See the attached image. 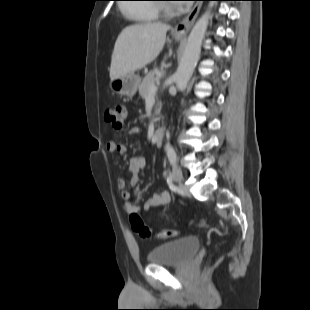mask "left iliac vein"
<instances>
[{
	"label": "left iliac vein",
	"mask_w": 310,
	"mask_h": 310,
	"mask_svg": "<svg viewBox=\"0 0 310 310\" xmlns=\"http://www.w3.org/2000/svg\"><path fill=\"white\" fill-rule=\"evenodd\" d=\"M173 177H174V181L177 184H180L183 181V173H182V170L180 169V167L174 166Z\"/></svg>",
	"instance_id": "obj_1"
}]
</instances>
